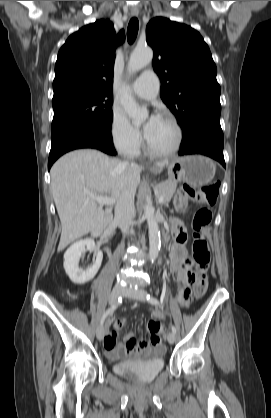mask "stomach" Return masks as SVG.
Returning a JSON list of instances; mask_svg holds the SVG:
<instances>
[{
  "label": "stomach",
  "instance_id": "obj_1",
  "mask_svg": "<svg viewBox=\"0 0 271 418\" xmlns=\"http://www.w3.org/2000/svg\"><path fill=\"white\" fill-rule=\"evenodd\" d=\"M166 169L172 181H183L194 187L212 181L216 172L213 161L200 155L174 158L166 164ZM152 171L160 173L162 169L158 168Z\"/></svg>",
  "mask_w": 271,
  "mask_h": 418
}]
</instances>
